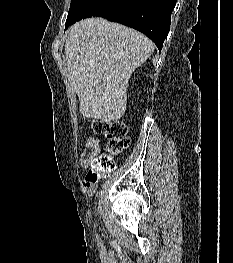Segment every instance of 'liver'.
Masks as SVG:
<instances>
[{"label":"liver","mask_w":233,"mask_h":263,"mask_svg":"<svg viewBox=\"0 0 233 263\" xmlns=\"http://www.w3.org/2000/svg\"><path fill=\"white\" fill-rule=\"evenodd\" d=\"M64 49L81 114L109 122L124 115L128 81L155 45L130 27L89 18L70 28Z\"/></svg>","instance_id":"6515ba94"}]
</instances>
